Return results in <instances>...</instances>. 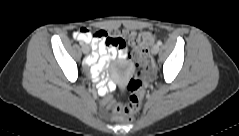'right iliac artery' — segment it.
<instances>
[{"instance_id":"1","label":"right iliac artery","mask_w":239,"mask_h":136,"mask_svg":"<svg viewBox=\"0 0 239 136\" xmlns=\"http://www.w3.org/2000/svg\"><path fill=\"white\" fill-rule=\"evenodd\" d=\"M80 46H81V47H84V46H85V43H84V42H80Z\"/></svg>"}]
</instances>
